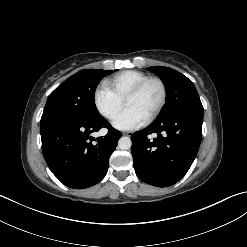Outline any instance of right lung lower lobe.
<instances>
[{
  "label": "right lung lower lobe",
  "instance_id": "obj_1",
  "mask_svg": "<svg viewBox=\"0 0 247 247\" xmlns=\"http://www.w3.org/2000/svg\"><path fill=\"white\" fill-rule=\"evenodd\" d=\"M103 127L109 129L106 136H90ZM40 133L48 167L60 182L75 189L93 186L104 178L121 136L102 116L95 120L50 116L41 119Z\"/></svg>",
  "mask_w": 247,
  "mask_h": 247
}]
</instances>
